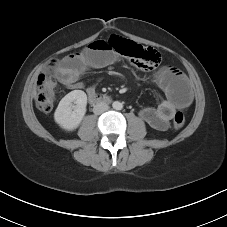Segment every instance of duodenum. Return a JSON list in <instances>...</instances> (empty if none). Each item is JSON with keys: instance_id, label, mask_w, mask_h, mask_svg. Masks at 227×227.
Listing matches in <instances>:
<instances>
[{"instance_id": "duodenum-1", "label": "duodenum", "mask_w": 227, "mask_h": 227, "mask_svg": "<svg viewBox=\"0 0 227 227\" xmlns=\"http://www.w3.org/2000/svg\"><path fill=\"white\" fill-rule=\"evenodd\" d=\"M90 101L94 104L106 103L110 101V98L106 95L93 93L90 95Z\"/></svg>"}]
</instances>
